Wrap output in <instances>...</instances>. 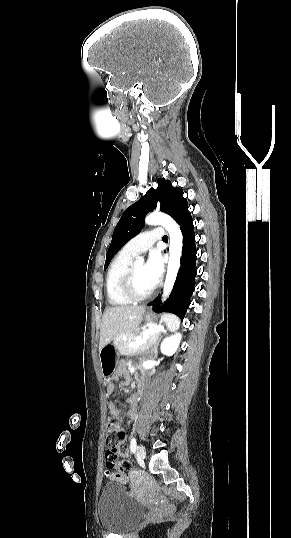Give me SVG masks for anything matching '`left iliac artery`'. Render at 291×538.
Instances as JSON below:
<instances>
[{"mask_svg": "<svg viewBox=\"0 0 291 538\" xmlns=\"http://www.w3.org/2000/svg\"><path fill=\"white\" fill-rule=\"evenodd\" d=\"M136 444H137V443H136V439L133 437V438L131 439V441H130V451H131L132 453H134L135 450H136Z\"/></svg>", "mask_w": 291, "mask_h": 538, "instance_id": "44dca946", "label": "left iliac artery"}]
</instances>
